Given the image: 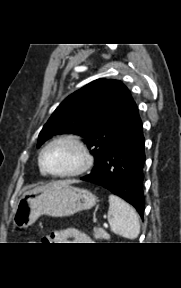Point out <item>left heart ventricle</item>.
<instances>
[{"label": "left heart ventricle", "mask_w": 181, "mask_h": 288, "mask_svg": "<svg viewBox=\"0 0 181 288\" xmlns=\"http://www.w3.org/2000/svg\"><path fill=\"white\" fill-rule=\"evenodd\" d=\"M81 163L79 151L69 143H57L44 154V164L54 173H66L75 170Z\"/></svg>", "instance_id": "1"}]
</instances>
